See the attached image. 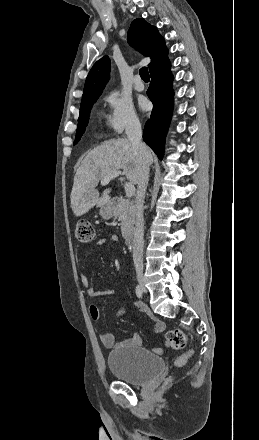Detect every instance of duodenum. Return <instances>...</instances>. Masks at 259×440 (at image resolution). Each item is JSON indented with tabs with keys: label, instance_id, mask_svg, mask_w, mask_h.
Masks as SVG:
<instances>
[{
	"label": "duodenum",
	"instance_id": "obj_1",
	"mask_svg": "<svg viewBox=\"0 0 259 440\" xmlns=\"http://www.w3.org/2000/svg\"><path fill=\"white\" fill-rule=\"evenodd\" d=\"M125 243L129 248L133 246V234L131 232L125 234Z\"/></svg>",
	"mask_w": 259,
	"mask_h": 440
}]
</instances>
